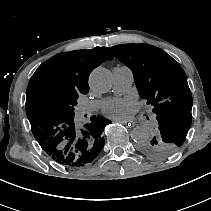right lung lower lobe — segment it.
<instances>
[{
  "label": "right lung lower lobe",
  "mask_w": 211,
  "mask_h": 211,
  "mask_svg": "<svg viewBox=\"0 0 211 211\" xmlns=\"http://www.w3.org/2000/svg\"><path fill=\"white\" fill-rule=\"evenodd\" d=\"M53 123L56 121L49 119L32 123L35 139L54 161L80 167L91 163L99 155L104 146L103 129L111 121L102 116H92L90 123L82 128L77 126L74 119L60 125ZM61 143H65L62 149L59 148Z\"/></svg>",
  "instance_id": "98d812e1"
}]
</instances>
